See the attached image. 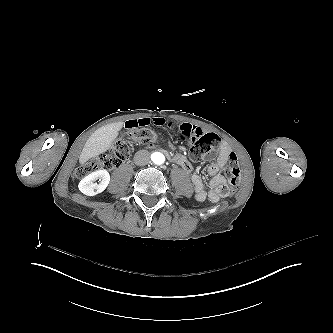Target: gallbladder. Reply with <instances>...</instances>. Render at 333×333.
Listing matches in <instances>:
<instances>
[{
  "mask_svg": "<svg viewBox=\"0 0 333 333\" xmlns=\"http://www.w3.org/2000/svg\"><path fill=\"white\" fill-rule=\"evenodd\" d=\"M123 135H124V136H126V135H127V133H126V132H123Z\"/></svg>",
  "mask_w": 333,
  "mask_h": 333,
  "instance_id": "1",
  "label": "gallbladder"
}]
</instances>
